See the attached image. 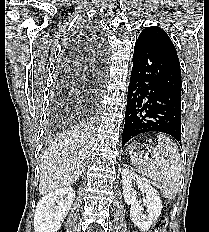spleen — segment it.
<instances>
[{
	"mask_svg": "<svg viewBox=\"0 0 209 232\" xmlns=\"http://www.w3.org/2000/svg\"><path fill=\"white\" fill-rule=\"evenodd\" d=\"M157 138L159 143L153 149L151 158L142 152H135L131 145L130 158L139 174L152 180L165 198L174 199L182 176L179 149L166 135L160 134Z\"/></svg>",
	"mask_w": 209,
	"mask_h": 232,
	"instance_id": "3e777b00",
	"label": "spleen"
}]
</instances>
